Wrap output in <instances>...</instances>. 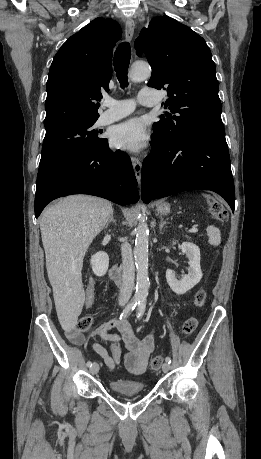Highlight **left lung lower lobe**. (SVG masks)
<instances>
[{
	"label": "left lung lower lobe",
	"instance_id": "1",
	"mask_svg": "<svg viewBox=\"0 0 261 459\" xmlns=\"http://www.w3.org/2000/svg\"><path fill=\"white\" fill-rule=\"evenodd\" d=\"M142 165V199L187 190H212L234 211L235 192L225 132H207L175 142L154 132Z\"/></svg>",
	"mask_w": 261,
	"mask_h": 459
}]
</instances>
